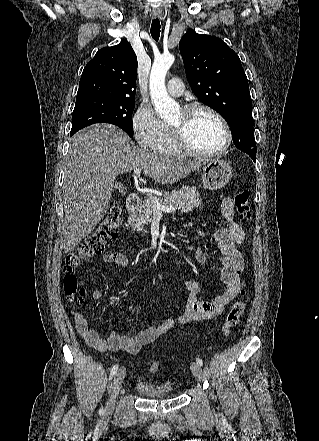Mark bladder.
<instances>
[{
  "instance_id": "31cf9c89",
  "label": "bladder",
  "mask_w": 319,
  "mask_h": 441,
  "mask_svg": "<svg viewBox=\"0 0 319 441\" xmlns=\"http://www.w3.org/2000/svg\"><path fill=\"white\" fill-rule=\"evenodd\" d=\"M136 389L140 394L150 398H167L174 394L170 383L156 384L146 379H139L136 382Z\"/></svg>"
}]
</instances>
